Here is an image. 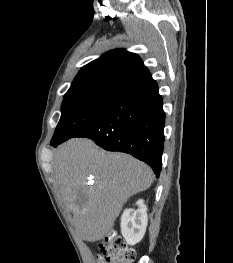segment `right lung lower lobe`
<instances>
[{"label": "right lung lower lobe", "mask_w": 233, "mask_h": 263, "mask_svg": "<svg viewBox=\"0 0 233 263\" xmlns=\"http://www.w3.org/2000/svg\"><path fill=\"white\" fill-rule=\"evenodd\" d=\"M165 113L155 80L117 95L106 112L74 137H87L108 151L129 153L151 166L158 177L162 169ZM64 139L52 140L57 146Z\"/></svg>", "instance_id": "98d812e1"}]
</instances>
